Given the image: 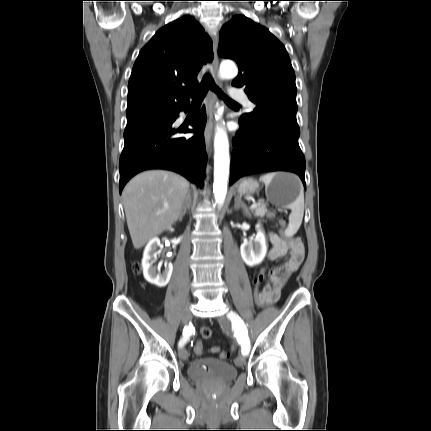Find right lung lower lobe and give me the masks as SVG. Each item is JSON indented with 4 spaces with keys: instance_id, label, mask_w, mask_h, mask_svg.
<instances>
[{
    "instance_id": "98d812e1",
    "label": "right lung lower lobe",
    "mask_w": 431,
    "mask_h": 431,
    "mask_svg": "<svg viewBox=\"0 0 431 431\" xmlns=\"http://www.w3.org/2000/svg\"><path fill=\"white\" fill-rule=\"evenodd\" d=\"M189 104L172 112L146 116L127 122L124 131V149L120 156L119 191L137 173L149 169L175 171L190 182L202 187L206 164L204 128L206 112L202 109L191 121L193 129L174 128L172 124L180 111ZM196 132L191 138L179 134Z\"/></svg>"
}]
</instances>
